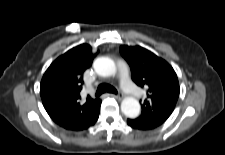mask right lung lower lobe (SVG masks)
I'll return each instance as SVG.
<instances>
[{"label":"right lung lower lobe","mask_w":225,"mask_h":155,"mask_svg":"<svg viewBox=\"0 0 225 155\" xmlns=\"http://www.w3.org/2000/svg\"><path fill=\"white\" fill-rule=\"evenodd\" d=\"M99 112H100V110H99ZM99 112H98V114H97V116H96V118H95V121H94V123L97 121V119H98V116H99Z\"/></svg>","instance_id":"right-lung-lower-lobe-1"}]
</instances>
